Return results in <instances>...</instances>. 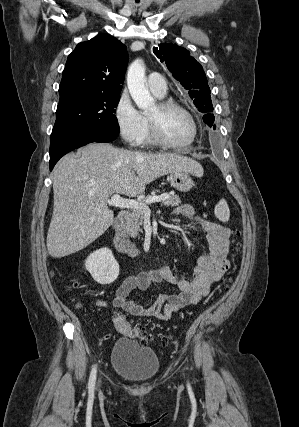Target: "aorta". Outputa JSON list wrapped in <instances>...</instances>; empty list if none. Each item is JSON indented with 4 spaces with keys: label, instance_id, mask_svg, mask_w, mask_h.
<instances>
[{
    "label": "aorta",
    "instance_id": "762f6f07",
    "mask_svg": "<svg viewBox=\"0 0 299 427\" xmlns=\"http://www.w3.org/2000/svg\"><path fill=\"white\" fill-rule=\"evenodd\" d=\"M127 85L130 95L139 109L147 111L155 106L154 99L146 85L145 67L141 59L134 60L129 66Z\"/></svg>",
    "mask_w": 299,
    "mask_h": 427
}]
</instances>
